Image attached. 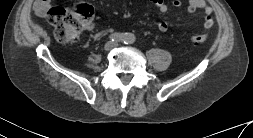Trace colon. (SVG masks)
Returning <instances> with one entry per match:
<instances>
[{
  "label": "colon",
  "instance_id": "5ec220e1",
  "mask_svg": "<svg viewBox=\"0 0 253 138\" xmlns=\"http://www.w3.org/2000/svg\"><path fill=\"white\" fill-rule=\"evenodd\" d=\"M94 15L91 5L84 2L73 3L67 7H52L47 16L55 26V36L63 43H73L88 26ZM208 40L207 34L190 37L191 43L201 45Z\"/></svg>",
  "mask_w": 253,
  "mask_h": 138
}]
</instances>
